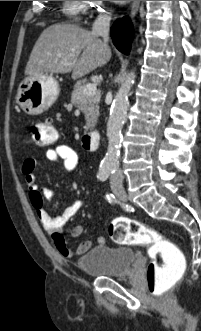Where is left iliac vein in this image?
<instances>
[{
    "label": "left iliac vein",
    "instance_id": "4c4485c4",
    "mask_svg": "<svg viewBox=\"0 0 201 331\" xmlns=\"http://www.w3.org/2000/svg\"><path fill=\"white\" fill-rule=\"evenodd\" d=\"M111 188L114 192H119L123 189L122 181L117 178L111 179Z\"/></svg>",
    "mask_w": 201,
    "mask_h": 331
}]
</instances>
